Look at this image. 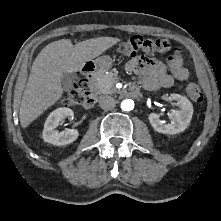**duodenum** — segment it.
<instances>
[{"label": "duodenum", "mask_w": 221, "mask_h": 221, "mask_svg": "<svg viewBox=\"0 0 221 221\" xmlns=\"http://www.w3.org/2000/svg\"><path fill=\"white\" fill-rule=\"evenodd\" d=\"M96 73H97V68L95 67V65L93 63H88V64L85 65V67H84V74H85L84 79L86 81L91 83V81L94 79ZM138 93H139V91L136 87H130L124 92L125 96H127V97H135V96L138 95ZM94 104H95V97L92 94H89L85 99L84 106L86 108H90Z\"/></svg>", "instance_id": "410a0bca"}]
</instances>
